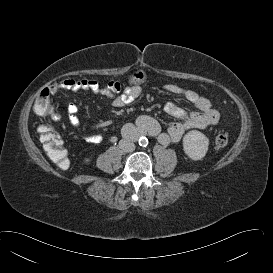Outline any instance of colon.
I'll return each instance as SVG.
<instances>
[{
    "label": "colon",
    "mask_w": 273,
    "mask_h": 273,
    "mask_svg": "<svg viewBox=\"0 0 273 273\" xmlns=\"http://www.w3.org/2000/svg\"><path fill=\"white\" fill-rule=\"evenodd\" d=\"M146 75L142 71H136L129 77V83L132 85L140 84L145 81ZM60 86L59 83H55L49 87L43 89L38 96L35 104V110L39 115L56 116L54 108L49 100V95L56 88ZM40 140L43 144V148L47 155L54 161H56L62 169H66L69 165L67 159L66 150L63 148V141L59 134L49 126H42L39 128ZM228 135L225 133H218L215 136V145L219 148H223L228 144Z\"/></svg>",
    "instance_id": "obj_1"
}]
</instances>
